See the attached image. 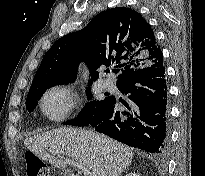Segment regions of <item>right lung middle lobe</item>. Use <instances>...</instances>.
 Masks as SVG:
<instances>
[{
	"label": "right lung middle lobe",
	"instance_id": "1",
	"mask_svg": "<svg viewBox=\"0 0 205 176\" xmlns=\"http://www.w3.org/2000/svg\"><path fill=\"white\" fill-rule=\"evenodd\" d=\"M55 84H49L42 86L38 89H35L33 91H30L28 93L27 99H26V108L29 112H32L36 105L37 101L40 99V97L43 95L45 90ZM87 95H89V98H91L90 88L87 89ZM108 100V97L105 98L102 101H92L88 103L82 110V113L79 115L78 118L66 122L67 125H74V126H86L90 120L92 119L95 112L104 105V103Z\"/></svg>",
	"mask_w": 205,
	"mask_h": 176
}]
</instances>
